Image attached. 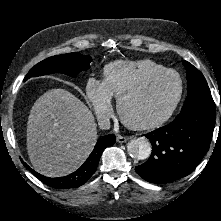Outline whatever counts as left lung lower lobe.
<instances>
[{
  "mask_svg": "<svg viewBox=\"0 0 221 221\" xmlns=\"http://www.w3.org/2000/svg\"><path fill=\"white\" fill-rule=\"evenodd\" d=\"M215 104L196 103L170 124L150 133V158L135 168L151 183L163 184L189 175L207 153L215 127Z\"/></svg>",
  "mask_w": 221,
  "mask_h": 221,
  "instance_id": "obj_1",
  "label": "left lung lower lobe"
}]
</instances>
